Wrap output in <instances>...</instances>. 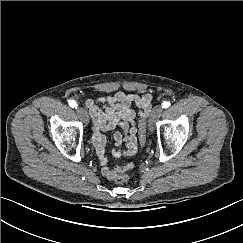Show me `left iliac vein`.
<instances>
[{
	"label": "left iliac vein",
	"instance_id": "left-iliac-vein-1",
	"mask_svg": "<svg viewBox=\"0 0 243 243\" xmlns=\"http://www.w3.org/2000/svg\"><path fill=\"white\" fill-rule=\"evenodd\" d=\"M163 112V107L158 105L155 106L150 114L149 120H148V126H149V130L150 132H152L154 130V124L155 122L159 119V117L161 116Z\"/></svg>",
	"mask_w": 243,
	"mask_h": 243
}]
</instances>
